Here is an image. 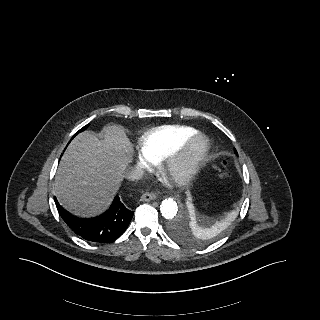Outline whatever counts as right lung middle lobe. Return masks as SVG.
<instances>
[{"instance_id":"1","label":"right lung middle lobe","mask_w":320,"mask_h":320,"mask_svg":"<svg viewBox=\"0 0 320 320\" xmlns=\"http://www.w3.org/2000/svg\"><path fill=\"white\" fill-rule=\"evenodd\" d=\"M87 126H88V125H86V126H84L83 128H81L74 136H76L78 133L84 131V130L87 128ZM74 136H73V137H74ZM73 137H72V138H73Z\"/></svg>"}]
</instances>
